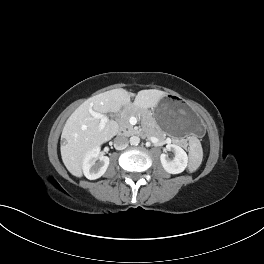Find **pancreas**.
Returning <instances> with one entry per match:
<instances>
[{"label": "pancreas", "instance_id": "obj_1", "mask_svg": "<svg viewBox=\"0 0 264 264\" xmlns=\"http://www.w3.org/2000/svg\"><path fill=\"white\" fill-rule=\"evenodd\" d=\"M131 116H138L137 109L134 107L125 109L118 121L120 131H123V133L126 135L134 134L136 132L135 128L129 123ZM148 136H157L161 139L164 138L160 130L157 129L155 122L152 120H150Z\"/></svg>", "mask_w": 264, "mask_h": 264}]
</instances>
